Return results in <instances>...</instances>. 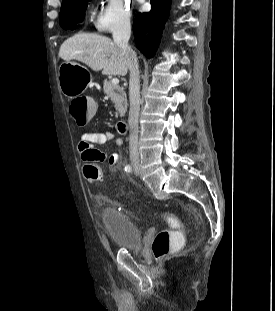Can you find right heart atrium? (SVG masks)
Instances as JSON below:
<instances>
[{
	"instance_id": "obj_1",
	"label": "right heart atrium",
	"mask_w": 275,
	"mask_h": 311,
	"mask_svg": "<svg viewBox=\"0 0 275 311\" xmlns=\"http://www.w3.org/2000/svg\"><path fill=\"white\" fill-rule=\"evenodd\" d=\"M132 7L130 0H106L94 20L95 28L102 33H113L131 27Z\"/></svg>"
}]
</instances>
